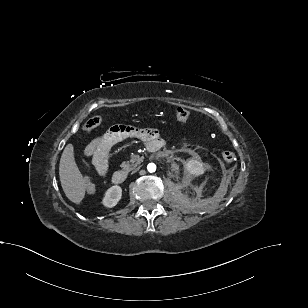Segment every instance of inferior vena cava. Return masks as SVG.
Here are the masks:
<instances>
[{
	"instance_id": "1",
	"label": "inferior vena cava",
	"mask_w": 308,
	"mask_h": 308,
	"mask_svg": "<svg viewBox=\"0 0 308 308\" xmlns=\"http://www.w3.org/2000/svg\"><path fill=\"white\" fill-rule=\"evenodd\" d=\"M137 174V169H132L131 170V175H136Z\"/></svg>"
}]
</instances>
